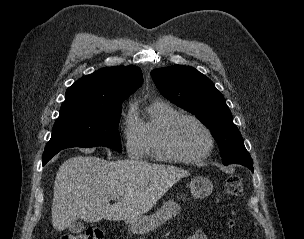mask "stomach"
<instances>
[{"label":"stomach","mask_w":304,"mask_h":239,"mask_svg":"<svg viewBox=\"0 0 304 239\" xmlns=\"http://www.w3.org/2000/svg\"><path fill=\"white\" fill-rule=\"evenodd\" d=\"M189 188L195 198H204L212 193L213 184L208 178L197 176L191 180ZM179 211V204L174 200H168L155 214L128 220V224L134 234L143 235L161 226Z\"/></svg>","instance_id":"1"}]
</instances>
